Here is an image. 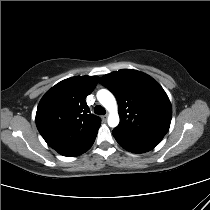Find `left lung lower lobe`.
Returning a JSON list of instances; mask_svg holds the SVG:
<instances>
[{
    "label": "left lung lower lobe",
    "instance_id": "0a47b994",
    "mask_svg": "<svg viewBox=\"0 0 210 210\" xmlns=\"http://www.w3.org/2000/svg\"><path fill=\"white\" fill-rule=\"evenodd\" d=\"M124 149L130 151V152H133V153H144V152H147V151H150L151 149H148V148H141V147H134V146H131V145H127L123 142H120V141H117Z\"/></svg>",
    "mask_w": 210,
    "mask_h": 210
}]
</instances>
